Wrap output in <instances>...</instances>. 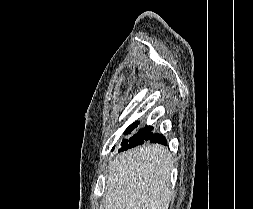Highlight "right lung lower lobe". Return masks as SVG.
I'll return each instance as SVG.
<instances>
[{
  "instance_id": "1",
  "label": "right lung lower lobe",
  "mask_w": 253,
  "mask_h": 209,
  "mask_svg": "<svg viewBox=\"0 0 253 209\" xmlns=\"http://www.w3.org/2000/svg\"><path fill=\"white\" fill-rule=\"evenodd\" d=\"M143 141L145 142H151V143H160L166 145L167 141L165 140V137L162 134L158 133H147L142 135Z\"/></svg>"
}]
</instances>
